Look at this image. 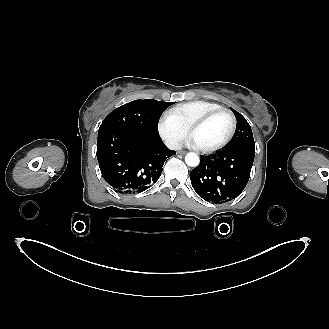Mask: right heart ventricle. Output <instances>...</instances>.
Masks as SVG:
<instances>
[{
    "instance_id": "e07e8e85",
    "label": "right heart ventricle",
    "mask_w": 329,
    "mask_h": 329,
    "mask_svg": "<svg viewBox=\"0 0 329 329\" xmlns=\"http://www.w3.org/2000/svg\"><path fill=\"white\" fill-rule=\"evenodd\" d=\"M222 108L219 103L196 100L179 104L168 112L173 115L186 129L202 116L216 109Z\"/></svg>"
}]
</instances>
